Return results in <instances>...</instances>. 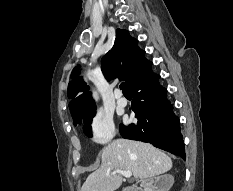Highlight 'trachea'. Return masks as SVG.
<instances>
[{
    "label": "trachea",
    "mask_w": 233,
    "mask_h": 191,
    "mask_svg": "<svg viewBox=\"0 0 233 191\" xmlns=\"http://www.w3.org/2000/svg\"><path fill=\"white\" fill-rule=\"evenodd\" d=\"M120 89L122 90L123 94L129 93V90H128V88H127L125 82H122V83L120 84Z\"/></svg>",
    "instance_id": "trachea-1"
}]
</instances>
